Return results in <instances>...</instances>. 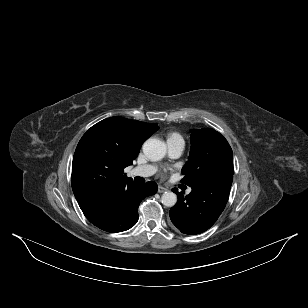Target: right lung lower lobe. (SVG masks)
<instances>
[{
  "label": "right lung lower lobe",
  "instance_id": "1",
  "mask_svg": "<svg viewBox=\"0 0 308 308\" xmlns=\"http://www.w3.org/2000/svg\"><path fill=\"white\" fill-rule=\"evenodd\" d=\"M156 192L157 184L154 182L133 183L114 198L82 211L92 224L104 231H126L138 221V207L142 199Z\"/></svg>",
  "mask_w": 308,
  "mask_h": 308
}]
</instances>
